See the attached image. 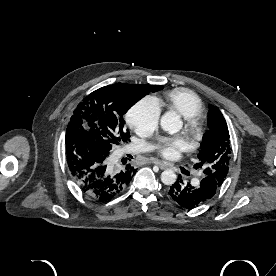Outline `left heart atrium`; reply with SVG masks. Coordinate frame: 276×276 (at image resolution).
Masks as SVG:
<instances>
[{
  "instance_id": "1",
  "label": "left heart atrium",
  "mask_w": 276,
  "mask_h": 276,
  "mask_svg": "<svg viewBox=\"0 0 276 276\" xmlns=\"http://www.w3.org/2000/svg\"><path fill=\"white\" fill-rule=\"evenodd\" d=\"M187 143L181 136L164 137L160 138L158 142L159 153L167 159L177 157L179 152L185 150Z\"/></svg>"
}]
</instances>
